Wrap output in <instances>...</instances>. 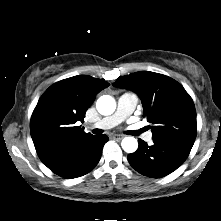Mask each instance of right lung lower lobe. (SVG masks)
Returning <instances> with one entry per match:
<instances>
[{
  "label": "right lung lower lobe",
  "mask_w": 221,
  "mask_h": 221,
  "mask_svg": "<svg viewBox=\"0 0 221 221\" xmlns=\"http://www.w3.org/2000/svg\"><path fill=\"white\" fill-rule=\"evenodd\" d=\"M107 141L108 137L104 134L89 138L66 161L50 170L66 179L87 174L98 164Z\"/></svg>",
  "instance_id": "98d812e1"
}]
</instances>
